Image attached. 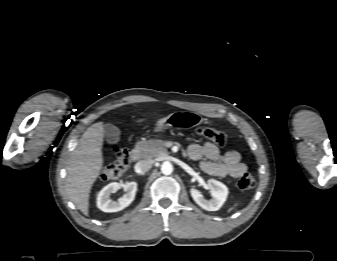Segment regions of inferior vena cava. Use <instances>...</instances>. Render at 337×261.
I'll return each instance as SVG.
<instances>
[{"label":"inferior vena cava","mask_w":337,"mask_h":261,"mask_svg":"<svg viewBox=\"0 0 337 261\" xmlns=\"http://www.w3.org/2000/svg\"><path fill=\"white\" fill-rule=\"evenodd\" d=\"M154 161L152 159L141 160L136 163L135 171L138 174L146 173L153 165Z\"/></svg>","instance_id":"obj_1"}]
</instances>
